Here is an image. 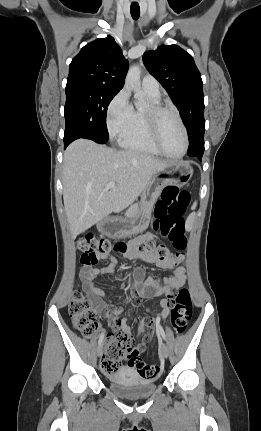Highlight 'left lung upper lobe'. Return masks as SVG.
Instances as JSON below:
<instances>
[{"label": "left lung upper lobe", "mask_w": 261, "mask_h": 431, "mask_svg": "<svg viewBox=\"0 0 261 431\" xmlns=\"http://www.w3.org/2000/svg\"><path fill=\"white\" fill-rule=\"evenodd\" d=\"M143 62L166 89L178 108L189 135V156L204 152L203 83L192 56L177 45H162L147 51Z\"/></svg>", "instance_id": "left-lung-upper-lobe-1"}]
</instances>
